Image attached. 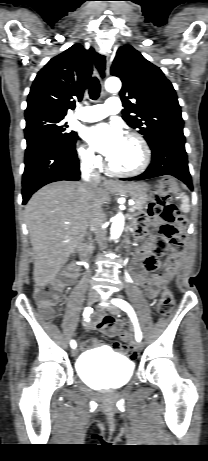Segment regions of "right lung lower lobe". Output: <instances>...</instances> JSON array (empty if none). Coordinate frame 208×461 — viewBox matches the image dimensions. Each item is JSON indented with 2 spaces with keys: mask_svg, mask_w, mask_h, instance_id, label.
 <instances>
[{
  "mask_svg": "<svg viewBox=\"0 0 208 461\" xmlns=\"http://www.w3.org/2000/svg\"><path fill=\"white\" fill-rule=\"evenodd\" d=\"M79 179V159L75 147L53 141L41 142L25 153L22 204L25 205L34 192L48 183Z\"/></svg>",
  "mask_w": 208,
  "mask_h": 461,
  "instance_id": "obj_1",
  "label": "right lung lower lobe"
}]
</instances>
